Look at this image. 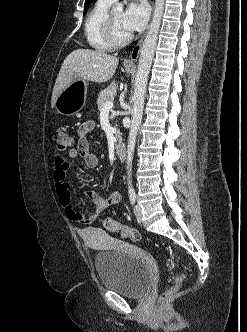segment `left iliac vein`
Wrapping results in <instances>:
<instances>
[{"mask_svg":"<svg viewBox=\"0 0 247 332\" xmlns=\"http://www.w3.org/2000/svg\"><path fill=\"white\" fill-rule=\"evenodd\" d=\"M134 214L138 221L142 220V208L140 205L137 204L134 206Z\"/></svg>","mask_w":247,"mask_h":332,"instance_id":"4c4485c4","label":"left iliac vein"}]
</instances>
